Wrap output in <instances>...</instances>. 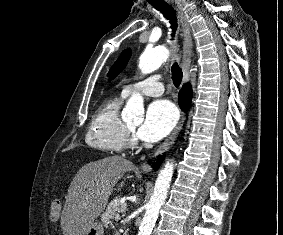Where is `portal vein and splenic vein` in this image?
<instances>
[{
  "label": "portal vein and splenic vein",
  "mask_w": 283,
  "mask_h": 235,
  "mask_svg": "<svg viewBox=\"0 0 283 235\" xmlns=\"http://www.w3.org/2000/svg\"><path fill=\"white\" fill-rule=\"evenodd\" d=\"M120 219H121L120 215H116V216H115V220H116V221H118V220H120Z\"/></svg>",
  "instance_id": "18ae733b"
}]
</instances>
